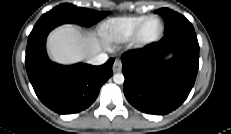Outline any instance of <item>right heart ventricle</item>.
Wrapping results in <instances>:
<instances>
[{
    "label": "right heart ventricle",
    "instance_id": "e07e8e85",
    "mask_svg": "<svg viewBox=\"0 0 231 134\" xmlns=\"http://www.w3.org/2000/svg\"><path fill=\"white\" fill-rule=\"evenodd\" d=\"M145 15H132L110 18L99 28L100 35L108 44H121L129 41Z\"/></svg>",
    "mask_w": 231,
    "mask_h": 134
}]
</instances>
